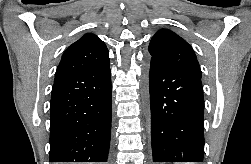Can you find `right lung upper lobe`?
Here are the masks:
<instances>
[{"mask_svg":"<svg viewBox=\"0 0 251 164\" xmlns=\"http://www.w3.org/2000/svg\"><path fill=\"white\" fill-rule=\"evenodd\" d=\"M107 64L109 56L105 43L94 34H86L66 49L54 82L102 68Z\"/></svg>","mask_w":251,"mask_h":164,"instance_id":"right-lung-upper-lobe-1","label":"right lung upper lobe"}]
</instances>
